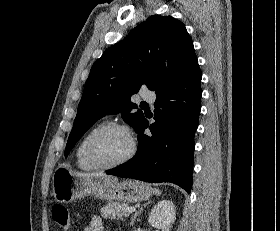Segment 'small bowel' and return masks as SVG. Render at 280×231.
Returning <instances> with one entry per match:
<instances>
[{"label": "small bowel", "mask_w": 280, "mask_h": 231, "mask_svg": "<svg viewBox=\"0 0 280 231\" xmlns=\"http://www.w3.org/2000/svg\"><path fill=\"white\" fill-rule=\"evenodd\" d=\"M84 231H104V224L99 216H94L89 224L84 228Z\"/></svg>", "instance_id": "small-bowel-1"}]
</instances>
